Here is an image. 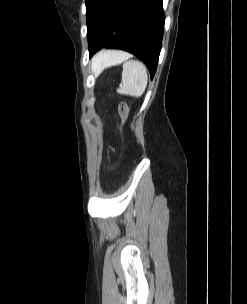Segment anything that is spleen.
Instances as JSON below:
<instances>
[{
    "instance_id": "spleen-1",
    "label": "spleen",
    "mask_w": 247,
    "mask_h": 304,
    "mask_svg": "<svg viewBox=\"0 0 247 304\" xmlns=\"http://www.w3.org/2000/svg\"><path fill=\"white\" fill-rule=\"evenodd\" d=\"M125 53H117L109 55L100 69L118 65L122 62V86L117 89V92L133 97H140L145 92L148 82L147 69L145 65L137 60L126 61Z\"/></svg>"
}]
</instances>
